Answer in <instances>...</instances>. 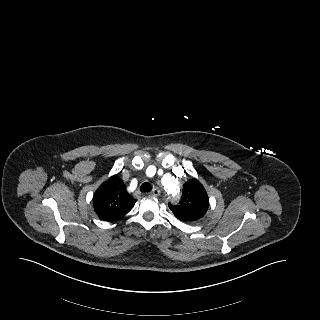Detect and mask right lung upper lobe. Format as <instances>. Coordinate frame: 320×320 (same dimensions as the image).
Returning a JSON list of instances; mask_svg holds the SVG:
<instances>
[{
	"label": "right lung upper lobe",
	"mask_w": 320,
	"mask_h": 320,
	"mask_svg": "<svg viewBox=\"0 0 320 320\" xmlns=\"http://www.w3.org/2000/svg\"><path fill=\"white\" fill-rule=\"evenodd\" d=\"M136 200L127 193L118 175L111 176L94 193L93 206L98 217L107 222L123 218Z\"/></svg>",
	"instance_id": "right-lung-upper-lobe-1"
}]
</instances>
